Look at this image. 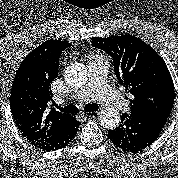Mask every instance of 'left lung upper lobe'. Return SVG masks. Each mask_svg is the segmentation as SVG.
Masks as SVG:
<instances>
[{
	"label": "left lung upper lobe",
	"mask_w": 178,
	"mask_h": 178,
	"mask_svg": "<svg viewBox=\"0 0 178 178\" xmlns=\"http://www.w3.org/2000/svg\"><path fill=\"white\" fill-rule=\"evenodd\" d=\"M91 40L93 47L112 57L117 79L134 96L130 99L131 114L170 115L175 98L173 80L164 60L151 46L129 34Z\"/></svg>",
	"instance_id": "1"
}]
</instances>
